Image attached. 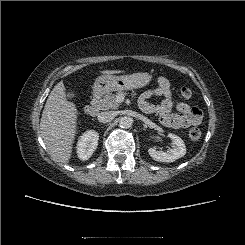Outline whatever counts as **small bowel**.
Segmentation results:
<instances>
[{"instance_id":"c3829d8e","label":"small bowel","mask_w":245,"mask_h":245,"mask_svg":"<svg viewBox=\"0 0 245 245\" xmlns=\"http://www.w3.org/2000/svg\"><path fill=\"white\" fill-rule=\"evenodd\" d=\"M152 96H162L159 105L147 102ZM140 106L146 112H155L159 115L162 124L170 128H188L198 125L202 120V111L198 107H192L184 102L175 105L177 113H173L174 103L169 80L165 76L157 78V87L144 92L140 98Z\"/></svg>"}]
</instances>
